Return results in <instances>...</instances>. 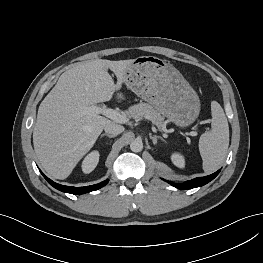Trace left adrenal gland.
<instances>
[{
  "instance_id": "1",
  "label": "left adrenal gland",
  "mask_w": 263,
  "mask_h": 263,
  "mask_svg": "<svg viewBox=\"0 0 263 263\" xmlns=\"http://www.w3.org/2000/svg\"><path fill=\"white\" fill-rule=\"evenodd\" d=\"M150 139L153 141L154 145H157V141L158 140H161L162 142L166 143V141L160 136H156V135L152 136V135H150Z\"/></svg>"
}]
</instances>
